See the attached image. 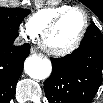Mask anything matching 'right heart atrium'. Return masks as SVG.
I'll list each match as a JSON object with an SVG mask.
<instances>
[{
    "instance_id": "d8ad5b80",
    "label": "right heart atrium",
    "mask_w": 103,
    "mask_h": 103,
    "mask_svg": "<svg viewBox=\"0 0 103 103\" xmlns=\"http://www.w3.org/2000/svg\"><path fill=\"white\" fill-rule=\"evenodd\" d=\"M20 33L24 37H33V35L30 33V31L27 29V27H20Z\"/></svg>"
}]
</instances>
